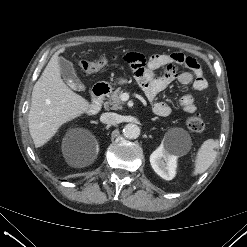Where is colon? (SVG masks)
I'll return each mask as SVG.
<instances>
[{
  "instance_id": "obj_1",
  "label": "colon",
  "mask_w": 247,
  "mask_h": 247,
  "mask_svg": "<svg viewBox=\"0 0 247 247\" xmlns=\"http://www.w3.org/2000/svg\"><path fill=\"white\" fill-rule=\"evenodd\" d=\"M108 62V59L105 56L100 57L96 61H82L80 63V69L83 74H91L102 67H104ZM186 126L188 129L195 133H201L205 130V123L198 114H191L186 119Z\"/></svg>"
}]
</instances>
